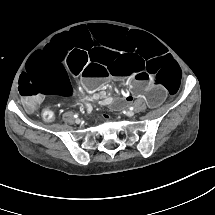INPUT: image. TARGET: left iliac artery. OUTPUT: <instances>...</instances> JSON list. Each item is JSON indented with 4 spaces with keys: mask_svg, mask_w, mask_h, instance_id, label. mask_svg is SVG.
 <instances>
[{
    "mask_svg": "<svg viewBox=\"0 0 215 215\" xmlns=\"http://www.w3.org/2000/svg\"><path fill=\"white\" fill-rule=\"evenodd\" d=\"M129 109H130V110H133V109H134V107H133V106H131Z\"/></svg>",
    "mask_w": 215,
    "mask_h": 215,
    "instance_id": "obj_1",
    "label": "left iliac artery"
}]
</instances>
